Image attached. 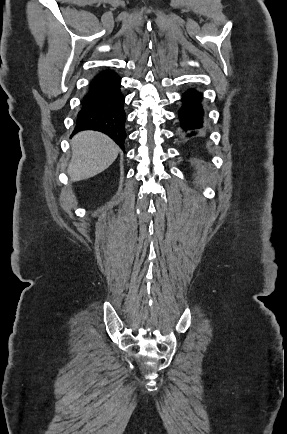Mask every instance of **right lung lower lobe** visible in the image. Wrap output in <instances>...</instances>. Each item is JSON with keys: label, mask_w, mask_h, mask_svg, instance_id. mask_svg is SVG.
<instances>
[{"label": "right lung lower lobe", "mask_w": 287, "mask_h": 434, "mask_svg": "<svg viewBox=\"0 0 287 434\" xmlns=\"http://www.w3.org/2000/svg\"><path fill=\"white\" fill-rule=\"evenodd\" d=\"M120 86L121 78L110 69L101 71L93 78L81 102L75 133L82 130L100 131L124 149L126 115Z\"/></svg>", "instance_id": "right-lung-lower-lobe-1"}]
</instances>
